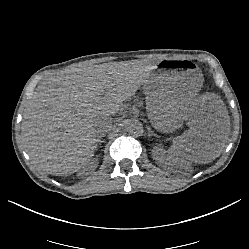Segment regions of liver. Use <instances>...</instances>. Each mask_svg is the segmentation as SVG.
Listing matches in <instances>:
<instances>
[{"label": "liver", "mask_w": 249, "mask_h": 249, "mask_svg": "<svg viewBox=\"0 0 249 249\" xmlns=\"http://www.w3.org/2000/svg\"><path fill=\"white\" fill-rule=\"evenodd\" d=\"M152 69L101 65L69 67L46 78L25 107L21 137L32 163L53 175H71L97 151L94 121L120 112L124 102L148 83ZM146 115L159 133L188 127L172 139L169 153L178 164L209 163L220 156L230 119L216 95L172 103L162 94L145 95Z\"/></svg>", "instance_id": "obj_1"}]
</instances>
